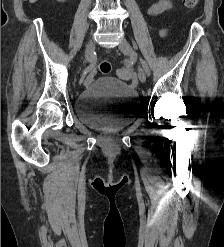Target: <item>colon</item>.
<instances>
[{"label": "colon", "mask_w": 224, "mask_h": 247, "mask_svg": "<svg viewBox=\"0 0 224 247\" xmlns=\"http://www.w3.org/2000/svg\"><path fill=\"white\" fill-rule=\"evenodd\" d=\"M183 2L187 8L194 9L198 5L199 0H183ZM98 68L102 74H109L112 70V65L108 60H102L100 61ZM118 76L127 81H131L133 79L132 73L123 68L118 71Z\"/></svg>", "instance_id": "colon-1"}]
</instances>
